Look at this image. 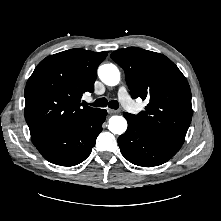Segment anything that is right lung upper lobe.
<instances>
[{
  "label": "right lung upper lobe",
  "instance_id": "right-lung-upper-lobe-1",
  "mask_svg": "<svg viewBox=\"0 0 221 221\" xmlns=\"http://www.w3.org/2000/svg\"><path fill=\"white\" fill-rule=\"evenodd\" d=\"M106 56L107 52L70 49L38 64L24 91V114L34 145L64 135L100 110L82 106L80 98L94 91L97 68Z\"/></svg>",
  "mask_w": 221,
  "mask_h": 221
}]
</instances>
